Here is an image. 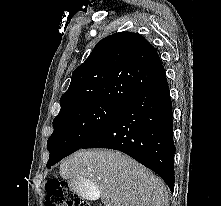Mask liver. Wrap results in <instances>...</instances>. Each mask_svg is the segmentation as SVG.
<instances>
[{
    "mask_svg": "<svg viewBox=\"0 0 221 206\" xmlns=\"http://www.w3.org/2000/svg\"><path fill=\"white\" fill-rule=\"evenodd\" d=\"M60 175L94 185L105 206H169L165 183L119 151L75 152L60 164Z\"/></svg>",
    "mask_w": 221,
    "mask_h": 206,
    "instance_id": "liver-1",
    "label": "liver"
}]
</instances>
